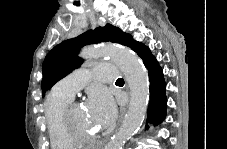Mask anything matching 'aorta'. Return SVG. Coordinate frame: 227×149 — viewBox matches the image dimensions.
<instances>
[{
  "label": "aorta",
  "instance_id": "aorta-1",
  "mask_svg": "<svg viewBox=\"0 0 227 149\" xmlns=\"http://www.w3.org/2000/svg\"><path fill=\"white\" fill-rule=\"evenodd\" d=\"M81 55L87 59L109 57L125 75L130 88L128 111L120 129L106 146V149H123L126 141L137 132L143 122L149 98L148 74L137 56L125 47L108 44L86 48Z\"/></svg>",
  "mask_w": 227,
  "mask_h": 149
}]
</instances>
